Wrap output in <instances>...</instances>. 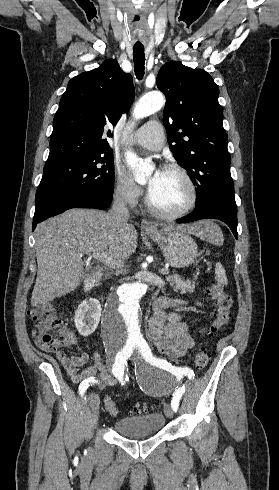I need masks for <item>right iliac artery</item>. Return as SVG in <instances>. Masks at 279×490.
<instances>
[{
	"instance_id": "obj_1",
	"label": "right iliac artery",
	"mask_w": 279,
	"mask_h": 490,
	"mask_svg": "<svg viewBox=\"0 0 279 490\" xmlns=\"http://www.w3.org/2000/svg\"><path fill=\"white\" fill-rule=\"evenodd\" d=\"M110 359L113 366L112 373L115 376H119L124 371V366L126 364V361H128L129 359V354L128 352H111ZM93 380L94 379L91 376H87L85 377V379L81 380V384L79 387L81 396L84 395L85 391H87L89 387L93 386Z\"/></svg>"
}]
</instances>
